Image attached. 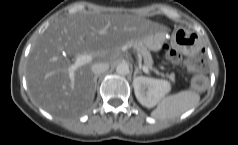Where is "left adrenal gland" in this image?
<instances>
[{"instance_id":"a2214340","label":"left adrenal gland","mask_w":238,"mask_h":145,"mask_svg":"<svg viewBox=\"0 0 238 145\" xmlns=\"http://www.w3.org/2000/svg\"><path fill=\"white\" fill-rule=\"evenodd\" d=\"M137 74H142V71L135 65V71H134V78H136Z\"/></svg>"}]
</instances>
